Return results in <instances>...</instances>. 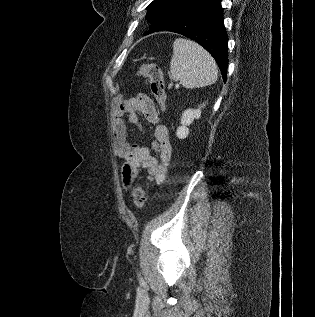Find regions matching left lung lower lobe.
I'll return each instance as SVG.
<instances>
[{
    "mask_svg": "<svg viewBox=\"0 0 315 317\" xmlns=\"http://www.w3.org/2000/svg\"><path fill=\"white\" fill-rule=\"evenodd\" d=\"M167 30L202 45L217 62L223 81L226 82L228 37L220 0H199Z\"/></svg>",
    "mask_w": 315,
    "mask_h": 317,
    "instance_id": "left-lung-lower-lobe-1",
    "label": "left lung lower lobe"
}]
</instances>
